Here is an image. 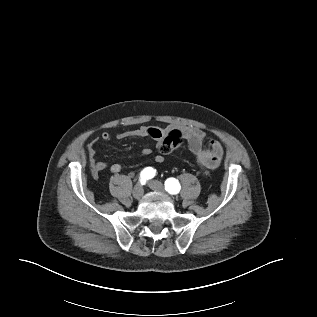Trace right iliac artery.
Masks as SVG:
<instances>
[{"label":"right iliac artery","instance_id":"obj_1","mask_svg":"<svg viewBox=\"0 0 317 317\" xmlns=\"http://www.w3.org/2000/svg\"><path fill=\"white\" fill-rule=\"evenodd\" d=\"M156 175V170L152 167L144 168L139 177L140 183L143 185L146 183L147 180L152 179Z\"/></svg>","mask_w":317,"mask_h":317}]
</instances>
